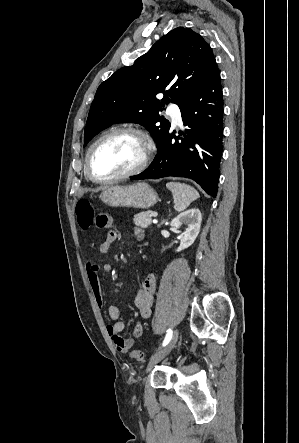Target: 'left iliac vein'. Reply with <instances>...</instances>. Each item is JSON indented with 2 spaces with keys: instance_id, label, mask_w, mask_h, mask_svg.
<instances>
[{
  "instance_id": "left-iliac-vein-1",
  "label": "left iliac vein",
  "mask_w": 299,
  "mask_h": 443,
  "mask_svg": "<svg viewBox=\"0 0 299 443\" xmlns=\"http://www.w3.org/2000/svg\"><path fill=\"white\" fill-rule=\"evenodd\" d=\"M179 337V331L176 329L170 339V341L168 342V344L161 349L160 351H158L157 353H155L148 362L146 371L148 372L155 364H157L159 361H161L164 357H166L171 350L175 347L177 340Z\"/></svg>"
}]
</instances>
